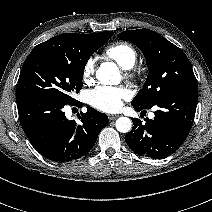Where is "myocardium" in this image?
<instances>
[{
    "instance_id": "f54148a6",
    "label": "myocardium",
    "mask_w": 212,
    "mask_h": 212,
    "mask_svg": "<svg viewBox=\"0 0 212 212\" xmlns=\"http://www.w3.org/2000/svg\"><path fill=\"white\" fill-rule=\"evenodd\" d=\"M125 76H126V77H129V78H134L136 75H135V73L127 72V73L125 74Z\"/></svg>"
}]
</instances>
